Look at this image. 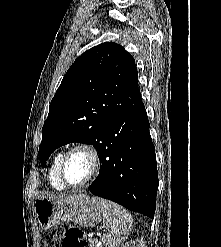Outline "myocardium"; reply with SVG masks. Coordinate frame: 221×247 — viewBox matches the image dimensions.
<instances>
[{"label": "myocardium", "mask_w": 221, "mask_h": 247, "mask_svg": "<svg viewBox=\"0 0 221 247\" xmlns=\"http://www.w3.org/2000/svg\"><path fill=\"white\" fill-rule=\"evenodd\" d=\"M75 152H83L89 157L90 172L88 176L82 182L77 183V184H72L67 180L65 176V166H66L68 158ZM101 163H102V160H101L100 152L93 144L88 143V142H78L72 145L64 153L63 158L61 160V164H60L59 175L64 185L70 188H79L91 182L98 175L100 168H101Z\"/></svg>", "instance_id": "1"}]
</instances>
